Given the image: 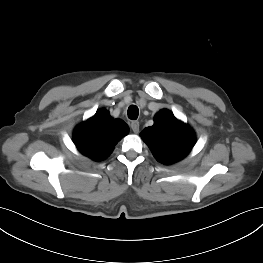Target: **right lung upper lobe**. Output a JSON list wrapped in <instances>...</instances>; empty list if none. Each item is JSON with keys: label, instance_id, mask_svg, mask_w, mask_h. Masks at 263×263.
Segmentation results:
<instances>
[{"label": "right lung upper lobe", "instance_id": "1", "mask_svg": "<svg viewBox=\"0 0 263 263\" xmlns=\"http://www.w3.org/2000/svg\"><path fill=\"white\" fill-rule=\"evenodd\" d=\"M128 133V126L120 119H113L109 112L100 109L74 131L77 149L95 161L107 158L117 142Z\"/></svg>", "mask_w": 263, "mask_h": 263}]
</instances>
